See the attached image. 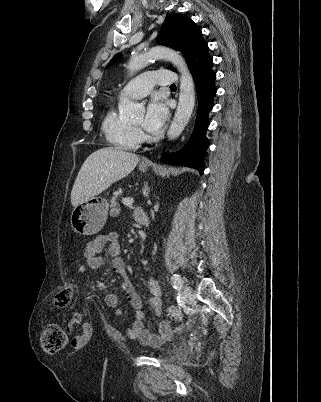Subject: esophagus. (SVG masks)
Returning <instances> with one entry per match:
<instances>
[{
    "mask_svg": "<svg viewBox=\"0 0 321 402\" xmlns=\"http://www.w3.org/2000/svg\"><path fill=\"white\" fill-rule=\"evenodd\" d=\"M142 162L145 163V164H148V163H149L148 160H143Z\"/></svg>",
    "mask_w": 321,
    "mask_h": 402,
    "instance_id": "1",
    "label": "esophagus"
}]
</instances>
